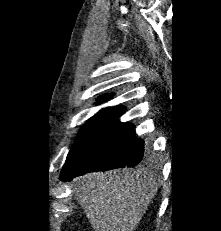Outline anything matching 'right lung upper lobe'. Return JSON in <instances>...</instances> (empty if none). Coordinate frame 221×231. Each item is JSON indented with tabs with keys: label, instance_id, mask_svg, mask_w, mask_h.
<instances>
[{
	"label": "right lung upper lobe",
	"instance_id": "cb5924a9",
	"mask_svg": "<svg viewBox=\"0 0 221 231\" xmlns=\"http://www.w3.org/2000/svg\"><path fill=\"white\" fill-rule=\"evenodd\" d=\"M113 96V94H107V95H103L101 97H99L98 99H109Z\"/></svg>",
	"mask_w": 221,
	"mask_h": 231
}]
</instances>
